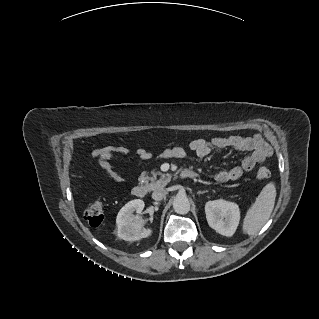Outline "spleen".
Listing matches in <instances>:
<instances>
[{"label": "spleen", "instance_id": "1", "mask_svg": "<svg viewBox=\"0 0 319 319\" xmlns=\"http://www.w3.org/2000/svg\"><path fill=\"white\" fill-rule=\"evenodd\" d=\"M275 198L276 188L274 183L270 182L264 186L245 215L243 221L245 234L254 235L265 225L273 211Z\"/></svg>", "mask_w": 319, "mask_h": 319}]
</instances>
